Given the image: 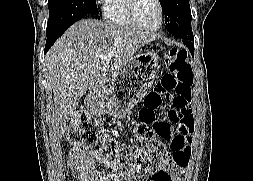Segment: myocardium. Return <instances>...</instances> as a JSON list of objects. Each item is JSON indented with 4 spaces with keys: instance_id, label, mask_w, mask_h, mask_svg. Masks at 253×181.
<instances>
[{
    "instance_id": "1",
    "label": "myocardium",
    "mask_w": 253,
    "mask_h": 181,
    "mask_svg": "<svg viewBox=\"0 0 253 181\" xmlns=\"http://www.w3.org/2000/svg\"><path fill=\"white\" fill-rule=\"evenodd\" d=\"M137 2L138 0H127V12L128 15L132 21V23L139 29L144 30V31H149V32H154L158 31L161 29L164 23V18H165V8L162 0H156L158 6H159V11H160V20L159 23L156 27H147L144 26L138 19L137 16Z\"/></svg>"
}]
</instances>
